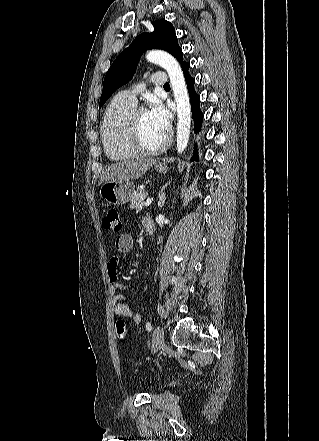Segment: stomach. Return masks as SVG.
Segmentation results:
<instances>
[{"label": "stomach", "mask_w": 319, "mask_h": 441, "mask_svg": "<svg viewBox=\"0 0 319 441\" xmlns=\"http://www.w3.org/2000/svg\"><path fill=\"white\" fill-rule=\"evenodd\" d=\"M159 173L167 170L166 166L156 165ZM100 196L109 205H122L129 202L135 194V185L132 181L115 180L103 183L100 188Z\"/></svg>", "instance_id": "0dacf381"}]
</instances>
